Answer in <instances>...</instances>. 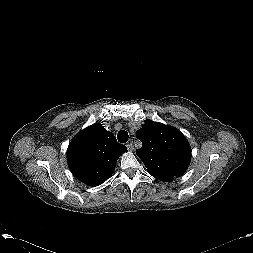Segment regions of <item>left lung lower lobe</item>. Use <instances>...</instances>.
I'll return each instance as SVG.
<instances>
[{
	"label": "left lung lower lobe",
	"instance_id": "0a47b994",
	"mask_svg": "<svg viewBox=\"0 0 253 253\" xmlns=\"http://www.w3.org/2000/svg\"><path fill=\"white\" fill-rule=\"evenodd\" d=\"M152 176H154L156 179L164 181V182H170L172 181L174 178V176L172 175H168V174H163V173H159V174H153Z\"/></svg>",
	"mask_w": 253,
	"mask_h": 253
}]
</instances>
